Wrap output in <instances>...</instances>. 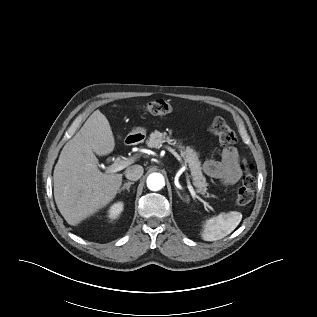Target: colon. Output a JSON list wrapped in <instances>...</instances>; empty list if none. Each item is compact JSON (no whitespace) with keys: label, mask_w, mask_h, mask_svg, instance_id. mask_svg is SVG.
Instances as JSON below:
<instances>
[{"label":"colon","mask_w":317,"mask_h":317,"mask_svg":"<svg viewBox=\"0 0 317 317\" xmlns=\"http://www.w3.org/2000/svg\"><path fill=\"white\" fill-rule=\"evenodd\" d=\"M171 109V105L165 100L151 101L144 108L145 112L151 115H165L171 112ZM211 131L218 137L220 143L225 146L233 145L237 141L236 134L221 117H216L212 121ZM242 170V186L235 194V205L238 207H243L252 201L256 186L255 178L252 174V165L245 161L242 164Z\"/></svg>","instance_id":"1"}]
</instances>
